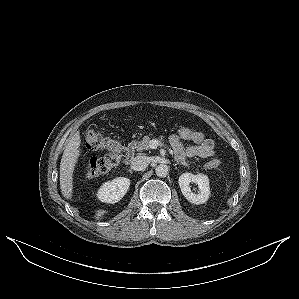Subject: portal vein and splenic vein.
Returning <instances> with one entry per match:
<instances>
[{
	"label": "portal vein and splenic vein",
	"instance_id": "1",
	"mask_svg": "<svg viewBox=\"0 0 299 299\" xmlns=\"http://www.w3.org/2000/svg\"><path fill=\"white\" fill-rule=\"evenodd\" d=\"M161 145V142H159V141H157V140H152L151 142H150V148H152V149H156L158 146H160Z\"/></svg>",
	"mask_w": 299,
	"mask_h": 299
}]
</instances>
